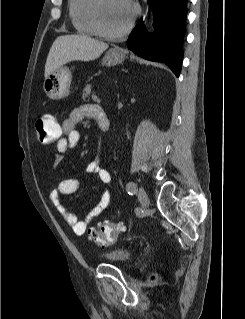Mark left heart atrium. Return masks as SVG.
Masks as SVG:
<instances>
[{
    "mask_svg": "<svg viewBox=\"0 0 245 319\" xmlns=\"http://www.w3.org/2000/svg\"><path fill=\"white\" fill-rule=\"evenodd\" d=\"M125 2L126 5L132 7V3L131 0H123Z\"/></svg>",
    "mask_w": 245,
    "mask_h": 319,
    "instance_id": "1",
    "label": "left heart atrium"
}]
</instances>
